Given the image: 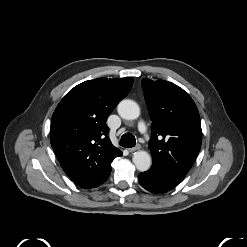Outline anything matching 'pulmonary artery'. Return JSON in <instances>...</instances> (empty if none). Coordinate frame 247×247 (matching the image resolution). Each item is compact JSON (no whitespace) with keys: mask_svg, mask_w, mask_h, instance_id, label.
<instances>
[{"mask_svg":"<svg viewBox=\"0 0 247 247\" xmlns=\"http://www.w3.org/2000/svg\"><path fill=\"white\" fill-rule=\"evenodd\" d=\"M139 130H140V132L143 133V134L146 133L147 128H146V125H145L143 122H141V123L139 124Z\"/></svg>","mask_w":247,"mask_h":247,"instance_id":"1","label":"pulmonary artery"}]
</instances>
